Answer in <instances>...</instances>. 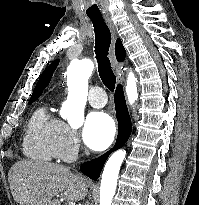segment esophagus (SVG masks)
I'll use <instances>...</instances> for the list:
<instances>
[{"instance_id": "obj_1", "label": "esophagus", "mask_w": 199, "mask_h": 205, "mask_svg": "<svg viewBox=\"0 0 199 205\" xmlns=\"http://www.w3.org/2000/svg\"><path fill=\"white\" fill-rule=\"evenodd\" d=\"M105 21H106V23L111 31V35H112V44H111V48H110V52H109V57H110V60H111L113 67L117 68L118 63L116 61L115 54H114V43H115V39L117 36L116 27H115V25L112 22L110 17H105ZM117 82L118 83L122 82V78L119 75H117Z\"/></svg>"}]
</instances>
